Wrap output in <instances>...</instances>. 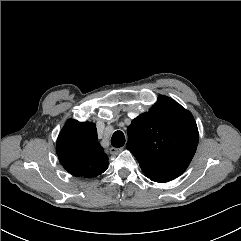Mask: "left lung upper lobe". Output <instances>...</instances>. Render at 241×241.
I'll list each match as a JSON object with an SVG mask.
<instances>
[{"label":"left lung upper lobe","instance_id":"left-lung-upper-lobe-1","mask_svg":"<svg viewBox=\"0 0 241 241\" xmlns=\"http://www.w3.org/2000/svg\"><path fill=\"white\" fill-rule=\"evenodd\" d=\"M127 132V149L143 173L159 183L171 181L187 169L199 140L192 114L166 96H159L148 112L132 120Z\"/></svg>","mask_w":241,"mask_h":241}]
</instances>
